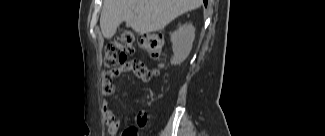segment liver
<instances>
[{"label":"liver","instance_id":"obj_1","mask_svg":"<svg viewBox=\"0 0 325 136\" xmlns=\"http://www.w3.org/2000/svg\"><path fill=\"white\" fill-rule=\"evenodd\" d=\"M202 3V0H104L101 31L106 39H111L122 22L140 34L159 31Z\"/></svg>","mask_w":325,"mask_h":136}]
</instances>
